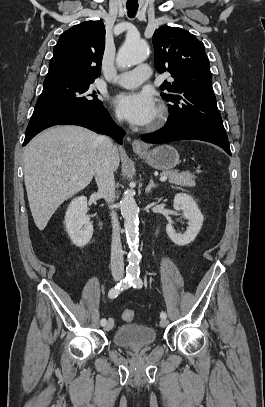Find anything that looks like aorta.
<instances>
[{"instance_id":"aorta-1","label":"aorta","mask_w":265,"mask_h":407,"mask_svg":"<svg viewBox=\"0 0 265 407\" xmlns=\"http://www.w3.org/2000/svg\"><path fill=\"white\" fill-rule=\"evenodd\" d=\"M149 56V46L140 39L127 38L118 51L116 63L121 68L131 67L145 61ZM138 213L139 208L133 195L129 192L122 199V215L130 252L126 271L130 275L139 272L140 255L138 252Z\"/></svg>"}]
</instances>
